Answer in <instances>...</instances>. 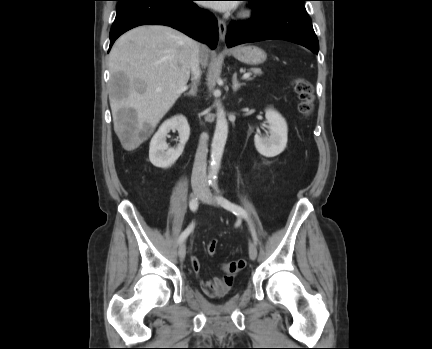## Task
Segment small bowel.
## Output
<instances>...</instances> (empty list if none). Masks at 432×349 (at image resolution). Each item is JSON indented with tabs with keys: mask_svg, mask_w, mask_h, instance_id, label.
I'll return each mask as SVG.
<instances>
[{
	"mask_svg": "<svg viewBox=\"0 0 432 349\" xmlns=\"http://www.w3.org/2000/svg\"><path fill=\"white\" fill-rule=\"evenodd\" d=\"M191 264L195 273L200 276L201 266L199 260L196 257H191ZM232 282V277L224 275L222 277H214L210 281H201V286L207 294H219L229 289Z\"/></svg>",
	"mask_w": 432,
	"mask_h": 349,
	"instance_id": "obj_1",
	"label": "small bowel"
}]
</instances>
